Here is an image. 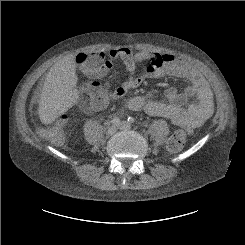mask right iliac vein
<instances>
[{
    "mask_svg": "<svg viewBox=\"0 0 245 245\" xmlns=\"http://www.w3.org/2000/svg\"><path fill=\"white\" fill-rule=\"evenodd\" d=\"M116 132H117L116 126H111L107 131L108 135H114Z\"/></svg>",
    "mask_w": 245,
    "mask_h": 245,
    "instance_id": "1",
    "label": "right iliac vein"
}]
</instances>
